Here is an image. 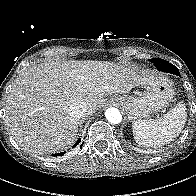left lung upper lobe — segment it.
Returning a JSON list of instances; mask_svg holds the SVG:
<instances>
[{
  "mask_svg": "<svg viewBox=\"0 0 196 196\" xmlns=\"http://www.w3.org/2000/svg\"><path fill=\"white\" fill-rule=\"evenodd\" d=\"M152 63L157 67L158 70L167 72V73H172V74H177L179 73V70L176 66L170 64L166 60L160 59V58H153L150 59Z\"/></svg>",
  "mask_w": 196,
  "mask_h": 196,
  "instance_id": "left-lung-upper-lobe-1",
  "label": "left lung upper lobe"
}]
</instances>
